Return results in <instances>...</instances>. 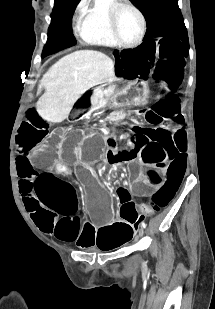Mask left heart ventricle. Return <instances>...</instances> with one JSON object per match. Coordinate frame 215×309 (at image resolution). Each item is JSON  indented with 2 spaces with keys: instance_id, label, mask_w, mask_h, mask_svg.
Listing matches in <instances>:
<instances>
[{
  "instance_id": "b2bd125f",
  "label": "left heart ventricle",
  "mask_w": 215,
  "mask_h": 309,
  "mask_svg": "<svg viewBox=\"0 0 215 309\" xmlns=\"http://www.w3.org/2000/svg\"><path fill=\"white\" fill-rule=\"evenodd\" d=\"M115 13L120 14V19L117 22H120L121 27L117 29L120 34L119 41H131L136 35L137 24L135 16L128 10H119Z\"/></svg>"
}]
</instances>
